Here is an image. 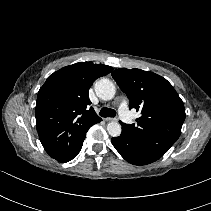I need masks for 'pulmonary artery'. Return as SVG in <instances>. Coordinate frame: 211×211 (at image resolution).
<instances>
[{
  "instance_id": "e3ab8cb5",
  "label": "pulmonary artery",
  "mask_w": 211,
  "mask_h": 211,
  "mask_svg": "<svg viewBox=\"0 0 211 211\" xmlns=\"http://www.w3.org/2000/svg\"><path fill=\"white\" fill-rule=\"evenodd\" d=\"M118 111H119V115H120L121 119L124 122H126V123L132 122V115L129 111L128 104L126 101H123L120 103Z\"/></svg>"
}]
</instances>
